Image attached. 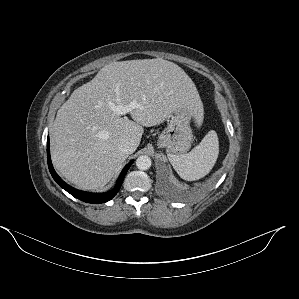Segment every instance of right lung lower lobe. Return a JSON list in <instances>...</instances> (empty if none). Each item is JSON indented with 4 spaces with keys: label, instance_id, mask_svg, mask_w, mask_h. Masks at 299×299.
Listing matches in <instances>:
<instances>
[{
    "label": "right lung lower lobe",
    "instance_id": "1",
    "mask_svg": "<svg viewBox=\"0 0 299 299\" xmlns=\"http://www.w3.org/2000/svg\"><path fill=\"white\" fill-rule=\"evenodd\" d=\"M47 160H48V167H49L52 177L64 190H66L68 193H70L72 196H74L75 198H77L79 200H82L87 203H94V204L105 203V202L109 201L110 199H112L117 194V192L119 191V189L122 185L125 174L127 173L128 169L130 168L131 164L133 163V161H131L125 166V168L121 172V174L117 180L116 186L113 190H111L109 192H105V193H88V192H83V191L77 190V189L69 186L57 175V173L53 169V166L51 163L50 150H49V138L47 139Z\"/></svg>",
    "mask_w": 299,
    "mask_h": 299
}]
</instances>
